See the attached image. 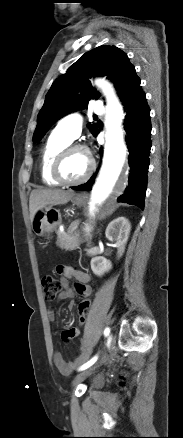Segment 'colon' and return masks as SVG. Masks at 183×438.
I'll return each mask as SVG.
<instances>
[{
    "label": "colon",
    "instance_id": "5ec220e1",
    "mask_svg": "<svg viewBox=\"0 0 183 438\" xmlns=\"http://www.w3.org/2000/svg\"><path fill=\"white\" fill-rule=\"evenodd\" d=\"M42 286L44 291V296L46 300H53L56 298L60 291L59 282L51 277H44L42 280ZM91 307V301L89 297H83L78 304V322L83 326L87 321V316ZM120 383L127 384L129 382V376L126 373H122L119 377Z\"/></svg>",
    "mask_w": 183,
    "mask_h": 438
}]
</instances>
